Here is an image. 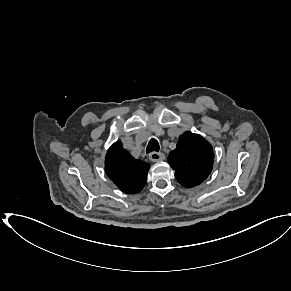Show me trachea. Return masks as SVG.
Instances as JSON below:
<instances>
[{"label": "trachea", "mask_w": 291, "mask_h": 291, "mask_svg": "<svg viewBox=\"0 0 291 291\" xmlns=\"http://www.w3.org/2000/svg\"><path fill=\"white\" fill-rule=\"evenodd\" d=\"M153 151H159V143L156 139L152 138L149 143L148 146L146 148V153H150Z\"/></svg>", "instance_id": "trachea-1"}]
</instances>
